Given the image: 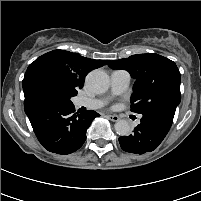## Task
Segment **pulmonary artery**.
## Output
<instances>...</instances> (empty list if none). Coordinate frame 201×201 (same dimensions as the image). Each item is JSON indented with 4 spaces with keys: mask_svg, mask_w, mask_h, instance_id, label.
Here are the masks:
<instances>
[{
    "mask_svg": "<svg viewBox=\"0 0 201 201\" xmlns=\"http://www.w3.org/2000/svg\"><path fill=\"white\" fill-rule=\"evenodd\" d=\"M130 74L125 70H114L110 75V88L112 95H119L127 90L130 84ZM107 103L105 98L80 97L75 101L76 106L88 109H98Z\"/></svg>",
    "mask_w": 201,
    "mask_h": 201,
    "instance_id": "1",
    "label": "pulmonary artery"
}]
</instances>
